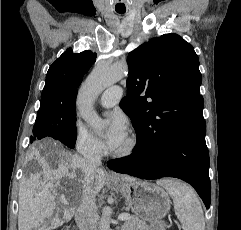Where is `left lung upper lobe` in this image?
<instances>
[{
  "label": "left lung upper lobe",
  "mask_w": 241,
  "mask_h": 230,
  "mask_svg": "<svg viewBox=\"0 0 241 230\" xmlns=\"http://www.w3.org/2000/svg\"><path fill=\"white\" fill-rule=\"evenodd\" d=\"M127 62V96L120 107L137 138L159 142L174 133L206 134L202 75L191 44L164 34L130 52Z\"/></svg>",
  "instance_id": "obj_1"
}]
</instances>
